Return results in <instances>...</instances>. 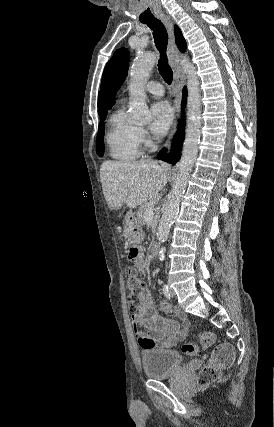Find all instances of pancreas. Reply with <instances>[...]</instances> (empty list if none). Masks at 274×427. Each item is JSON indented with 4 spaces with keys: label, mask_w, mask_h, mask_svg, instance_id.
Instances as JSON below:
<instances>
[{
    "label": "pancreas",
    "mask_w": 274,
    "mask_h": 427,
    "mask_svg": "<svg viewBox=\"0 0 274 427\" xmlns=\"http://www.w3.org/2000/svg\"><path fill=\"white\" fill-rule=\"evenodd\" d=\"M154 206V202H145V204H141L138 212H137V221L138 223H141V225H144L145 223V212L146 210H149V208H152Z\"/></svg>",
    "instance_id": "cf45deb5"
}]
</instances>
